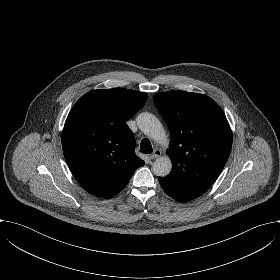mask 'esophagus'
Returning <instances> with one entry per match:
<instances>
[{
	"instance_id": "34e87169",
	"label": "esophagus",
	"mask_w": 280,
	"mask_h": 280,
	"mask_svg": "<svg viewBox=\"0 0 280 280\" xmlns=\"http://www.w3.org/2000/svg\"><path fill=\"white\" fill-rule=\"evenodd\" d=\"M159 156H161V150L159 148H156L153 153L150 155V159H156Z\"/></svg>"
}]
</instances>
